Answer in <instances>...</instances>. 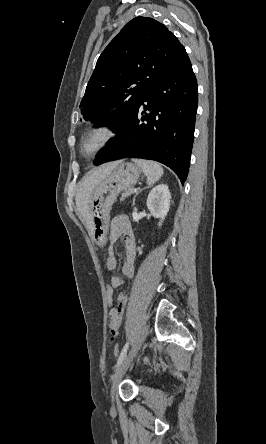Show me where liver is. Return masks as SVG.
Instances as JSON below:
<instances>
[{
    "mask_svg": "<svg viewBox=\"0 0 266 444\" xmlns=\"http://www.w3.org/2000/svg\"><path fill=\"white\" fill-rule=\"evenodd\" d=\"M119 164V162H111L100 166L97 169L88 172L79 182L76 195V205L78 211L86 222V227L90 235H92L88 203L95 188L102 182Z\"/></svg>",
    "mask_w": 266,
    "mask_h": 444,
    "instance_id": "6515ba94",
    "label": "liver"
}]
</instances>
